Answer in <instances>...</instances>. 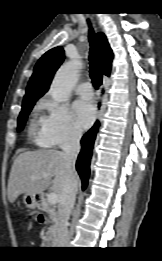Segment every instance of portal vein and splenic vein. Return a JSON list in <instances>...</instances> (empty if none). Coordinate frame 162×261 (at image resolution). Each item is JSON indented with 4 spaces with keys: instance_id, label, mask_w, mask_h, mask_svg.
Segmentation results:
<instances>
[{
    "instance_id": "portal-vein-and-splenic-vein-1",
    "label": "portal vein and splenic vein",
    "mask_w": 162,
    "mask_h": 261,
    "mask_svg": "<svg viewBox=\"0 0 162 261\" xmlns=\"http://www.w3.org/2000/svg\"><path fill=\"white\" fill-rule=\"evenodd\" d=\"M32 179H35V177L33 176ZM47 202L50 205H55L59 202V196L56 193H50L47 196Z\"/></svg>"
}]
</instances>
